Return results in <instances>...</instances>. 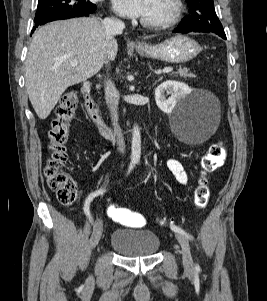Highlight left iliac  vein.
I'll list each match as a JSON object with an SVG mask.
<instances>
[{
  "mask_svg": "<svg viewBox=\"0 0 267 301\" xmlns=\"http://www.w3.org/2000/svg\"><path fill=\"white\" fill-rule=\"evenodd\" d=\"M175 236L177 241L179 242L182 248V260L183 265L186 271L193 272L194 271V263L190 251L189 242L186 236L180 232H175Z\"/></svg>",
  "mask_w": 267,
  "mask_h": 301,
  "instance_id": "1",
  "label": "left iliac vein"
}]
</instances>
